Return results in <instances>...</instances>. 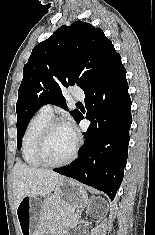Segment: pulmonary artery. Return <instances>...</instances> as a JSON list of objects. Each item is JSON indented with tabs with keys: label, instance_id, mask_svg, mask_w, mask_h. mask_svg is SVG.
<instances>
[{
	"label": "pulmonary artery",
	"instance_id": "e3ab8cb5",
	"mask_svg": "<svg viewBox=\"0 0 155 235\" xmlns=\"http://www.w3.org/2000/svg\"><path fill=\"white\" fill-rule=\"evenodd\" d=\"M72 96L77 100H83L84 92L79 88H75L72 90ZM40 111L46 115L53 116L54 109L51 104H46L41 107Z\"/></svg>",
	"mask_w": 155,
	"mask_h": 235
}]
</instances>
